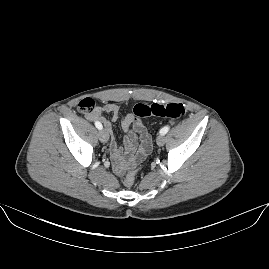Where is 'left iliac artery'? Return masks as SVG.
<instances>
[{"mask_svg": "<svg viewBox=\"0 0 269 269\" xmlns=\"http://www.w3.org/2000/svg\"><path fill=\"white\" fill-rule=\"evenodd\" d=\"M168 130H169V127L165 126L160 130V134L165 135L168 132Z\"/></svg>", "mask_w": 269, "mask_h": 269, "instance_id": "obj_1", "label": "left iliac artery"}]
</instances>
